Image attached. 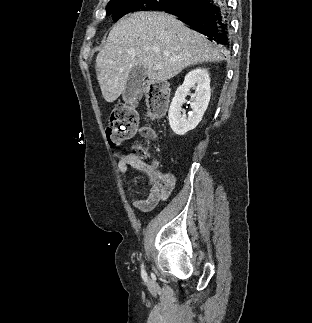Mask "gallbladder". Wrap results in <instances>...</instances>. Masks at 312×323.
I'll use <instances>...</instances> for the list:
<instances>
[{"instance_id":"1","label":"gallbladder","mask_w":312,"mask_h":323,"mask_svg":"<svg viewBox=\"0 0 312 323\" xmlns=\"http://www.w3.org/2000/svg\"><path fill=\"white\" fill-rule=\"evenodd\" d=\"M146 76L147 74L143 66H134V68H131L123 92V100L126 104H130L131 100L140 92L141 84L144 82Z\"/></svg>"}]
</instances>
